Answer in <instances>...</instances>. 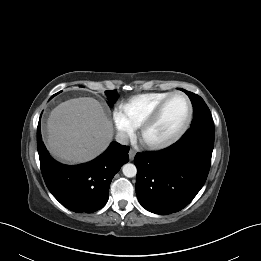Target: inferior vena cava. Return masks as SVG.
Returning <instances> with one entry per match:
<instances>
[{"mask_svg": "<svg viewBox=\"0 0 261 261\" xmlns=\"http://www.w3.org/2000/svg\"><path fill=\"white\" fill-rule=\"evenodd\" d=\"M115 139L118 143L123 144V145H126L129 142V136L124 132L118 133L116 135Z\"/></svg>", "mask_w": 261, "mask_h": 261, "instance_id": "inferior-vena-cava-1", "label": "inferior vena cava"}]
</instances>
